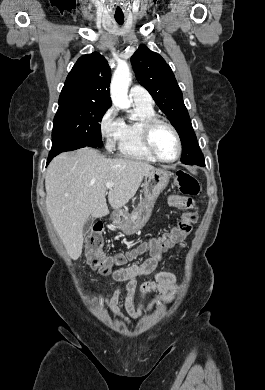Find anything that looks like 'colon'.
<instances>
[{
  "label": "colon",
  "instance_id": "obj_1",
  "mask_svg": "<svg viewBox=\"0 0 265 390\" xmlns=\"http://www.w3.org/2000/svg\"><path fill=\"white\" fill-rule=\"evenodd\" d=\"M175 183L181 193L187 197L196 196L200 191L198 180L185 171H179L177 173ZM196 219V208L184 212L177 224L169 232L157 237L155 239V245L145 253L153 254L166 247L170 242L183 240L191 232ZM103 245L102 226L97 223L92 227L86 238V256L92 268L98 269L103 275H107L111 272L113 265L122 264V260L120 258L112 259L105 255Z\"/></svg>",
  "mask_w": 265,
  "mask_h": 390
}]
</instances>
